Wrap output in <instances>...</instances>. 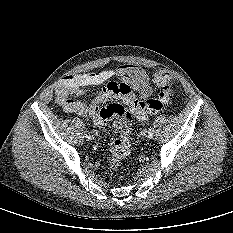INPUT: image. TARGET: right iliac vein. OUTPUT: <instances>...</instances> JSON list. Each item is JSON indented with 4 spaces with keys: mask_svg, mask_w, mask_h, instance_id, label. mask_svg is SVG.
I'll return each mask as SVG.
<instances>
[{
    "mask_svg": "<svg viewBox=\"0 0 233 233\" xmlns=\"http://www.w3.org/2000/svg\"><path fill=\"white\" fill-rule=\"evenodd\" d=\"M97 137V132L96 131H92V138H96Z\"/></svg>",
    "mask_w": 233,
    "mask_h": 233,
    "instance_id": "1",
    "label": "right iliac vein"
}]
</instances>
